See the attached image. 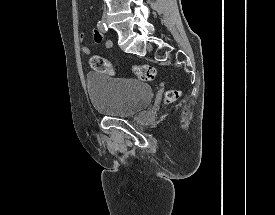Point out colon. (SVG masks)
I'll list each match as a JSON object with an SVG mask.
<instances>
[{"mask_svg": "<svg viewBox=\"0 0 275 215\" xmlns=\"http://www.w3.org/2000/svg\"><path fill=\"white\" fill-rule=\"evenodd\" d=\"M90 67L99 73H109L112 70L111 62L102 56H93L89 61ZM132 72L139 80L152 82L156 77V69L149 65L134 66ZM180 96V91L170 89L165 94V101L171 103L176 101Z\"/></svg>", "mask_w": 275, "mask_h": 215, "instance_id": "1", "label": "colon"}]
</instances>
